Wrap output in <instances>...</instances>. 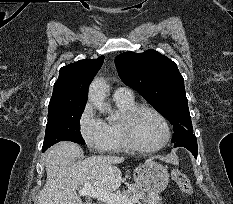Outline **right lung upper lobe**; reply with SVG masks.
<instances>
[{
	"instance_id": "obj_1",
	"label": "right lung upper lobe",
	"mask_w": 233,
	"mask_h": 204,
	"mask_svg": "<svg viewBox=\"0 0 233 204\" xmlns=\"http://www.w3.org/2000/svg\"><path fill=\"white\" fill-rule=\"evenodd\" d=\"M104 56L84 59L60 69L49 105L86 103L88 86L102 66Z\"/></svg>"
}]
</instances>
